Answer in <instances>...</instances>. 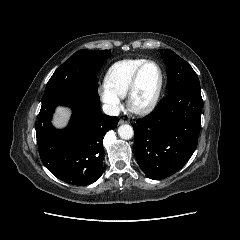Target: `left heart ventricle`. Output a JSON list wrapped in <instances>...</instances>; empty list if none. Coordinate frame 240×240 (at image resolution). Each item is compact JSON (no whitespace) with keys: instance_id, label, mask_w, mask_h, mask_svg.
<instances>
[{"instance_id":"b2bd125f","label":"left heart ventricle","mask_w":240,"mask_h":240,"mask_svg":"<svg viewBox=\"0 0 240 240\" xmlns=\"http://www.w3.org/2000/svg\"><path fill=\"white\" fill-rule=\"evenodd\" d=\"M158 70L153 64L146 65L142 70L138 86L134 95V101L138 105L147 103L152 97L158 84Z\"/></svg>"}]
</instances>
